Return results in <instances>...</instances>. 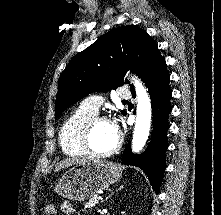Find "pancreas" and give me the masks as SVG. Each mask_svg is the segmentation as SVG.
I'll return each mask as SVG.
<instances>
[{
  "instance_id": "pancreas-1",
  "label": "pancreas",
  "mask_w": 221,
  "mask_h": 215,
  "mask_svg": "<svg viewBox=\"0 0 221 215\" xmlns=\"http://www.w3.org/2000/svg\"><path fill=\"white\" fill-rule=\"evenodd\" d=\"M98 198L97 196H93L86 204L85 208H93L96 204H98Z\"/></svg>"
}]
</instances>
